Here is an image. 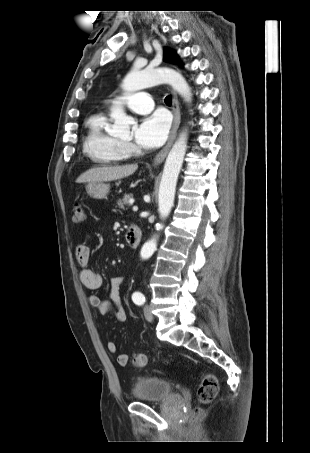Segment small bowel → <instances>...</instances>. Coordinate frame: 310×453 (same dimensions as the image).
<instances>
[{
  "label": "small bowel",
  "mask_w": 310,
  "mask_h": 453,
  "mask_svg": "<svg viewBox=\"0 0 310 453\" xmlns=\"http://www.w3.org/2000/svg\"><path fill=\"white\" fill-rule=\"evenodd\" d=\"M76 260L79 264V280L84 287L89 290H97L102 286V276L95 270L88 267L90 262V248L85 244H79L75 250ZM125 281L124 276L111 277L109 280V299L106 301L95 294L91 293L87 296L88 303L95 308L101 315L113 314L120 322H126L128 314L125 306L122 303L120 288ZM107 350L111 354L117 352V346L114 342L107 343ZM117 363L120 366H127L129 356L126 353L117 355Z\"/></svg>",
  "instance_id": "obj_1"
}]
</instances>
